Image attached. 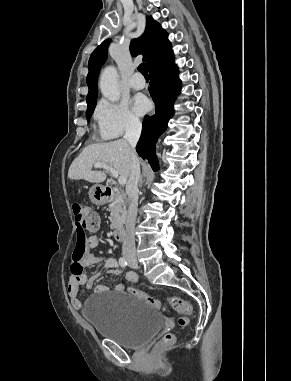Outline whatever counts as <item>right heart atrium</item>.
I'll use <instances>...</instances> for the list:
<instances>
[{
	"label": "right heart atrium",
	"mask_w": 291,
	"mask_h": 381,
	"mask_svg": "<svg viewBox=\"0 0 291 381\" xmlns=\"http://www.w3.org/2000/svg\"><path fill=\"white\" fill-rule=\"evenodd\" d=\"M95 120L100 134L106 139L120 137L141 128V121L126 101L101 99L95 109Z\"/></svg>",
	"instance_id": "right-heart-atrium-1"
}]
</instances>
